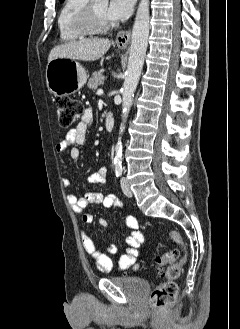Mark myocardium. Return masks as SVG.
I'll use <instances>...</instances> for the list:
<instances>
[{"instance_id":"myocardium-1","label":"myocardium","mask_w":240,"mask_h":329,"mask_svg":"<svg viewBox=\"0 0 240 329\" xmlns=\"http://www.w3.org/2000/svg\"><path fill=\"white\" fill-rule=\"evenodd\" d=\"M78 27L90 33L108 31L113 27L109 21L102 19L95 11L93 0H88L82 14L77 21Z\"/></svg>"}]
</instances>
